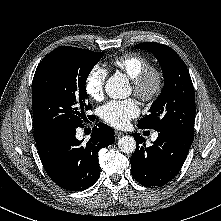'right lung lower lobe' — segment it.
Returning a JSON list of instances; mask_svg holds the SVG:
<instances>
[{"label": "right lung lower lobe", "mask_w": 221, "mask_h": 221, "mask_svg": "<svg viewBox=\"0 0 221 221\" xmlns=\"http://www.w3.org/2000/svg\"><path fill=\"white\" fill-rule=\"evenodd\" d=\"M75 134L76 128H64L35 139L49 177L59 187L70 191L85 190L98 180V151L114 142L112 128L103 123L93 128L87 143L76 139Z\"/></svg>", "instance_id": "98d812e1"}]
</instances>
